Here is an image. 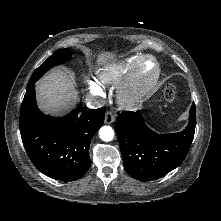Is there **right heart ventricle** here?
I'll return each instance as SVG.
<instances>
[{"label": "right heart ventricle", "instance_id": "obj_1", "mask_svg": "<svg viewBox=\"0 0 221 221\" xmlns=\"http://www.w3.org/2000/svg\"><path fill=\"white\" fill-rule=\"evenodd\" d=\"M141 56L142 55L131 56L124 61L107 68L105 72L99 75L100 82L103 84H114L125 79Z\"/></svg>", "mask_w": 221, "mask_h": 221}]
</instances>
